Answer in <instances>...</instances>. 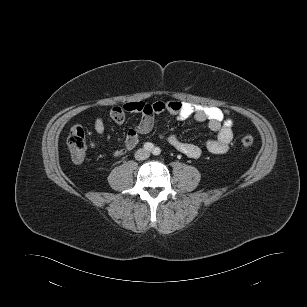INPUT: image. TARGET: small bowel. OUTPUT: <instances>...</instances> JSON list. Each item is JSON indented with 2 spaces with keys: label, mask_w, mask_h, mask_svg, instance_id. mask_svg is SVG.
Here are the masks:
<instances>
[{
  "label": "small bowel",
  "mask_w": 307,
  "mask_h": 307,
  "mask_svg": "<svg viewBox=\"0 0 307 307\" xmlns=\"http://www.w3.org/2000/svg\"><path fill=\"white\" fill-rule=\"evenodd\" d=\"M164 112L180 120L193 118L197 122L206 123L209 130L216 135L214 139L206 141L204 146L183 141L174 134L164 136L166 141L182 154L197 159L202 156L204 149L211 154H223L228 151L233 138V121L225 117L226 113L221 108L175 100L154 103L132 101L122 106H115L108 113L109 118L116 123H123L127 113H137L140 116L136 126L127 131L124 148L115 151L114 156H122L135 148L139 142V136L152 130L155 115ZM94 129L97 135H103L105 124L102 118H96Z\"/></svg>",
  "instance_id": "1"
}]
</instances>
